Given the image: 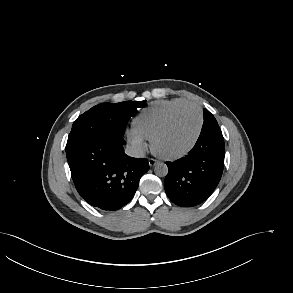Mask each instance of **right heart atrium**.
<instances>
[{
    "mask_svg": "<svg viewBox=\"0 0 293 293\" xmlns=\"http://www.w3.org/2000/svg\"><path fill=\"white\" fill-rule=\"evenodd\" d=\"M127 139L132 149L138 154L145 152L148 148L146 139L138 135L134 131L128 132Z\"/></svg>",
    "mask_w": 293,
    "mask_h": 293,
    "instance_id": "obj_1",
    "label": "right heart atrium"
}]
</instances>
